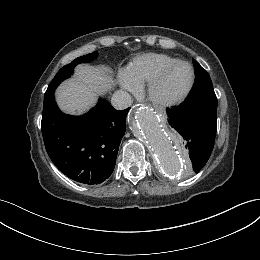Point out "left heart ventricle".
Segmentation results:
<instances>
[{
    "instance_id": "b2bd125f",
    "label": "left heart ventricle",
    "mask_w": 260,
    "mask_h": 260,
    "mask_svg": "<svg viewBox=\"0 0 260 260\" xmlns=\"http://www.w3.org/2000/svg\"><path fill=\"white\" fill-rule=\"evenodd\" d=\"M191 77V69L188 66L180 65L176 67L157 89L158 96L165 99L179 96L188 87Z\"/></svg>"
}]
</instances>
